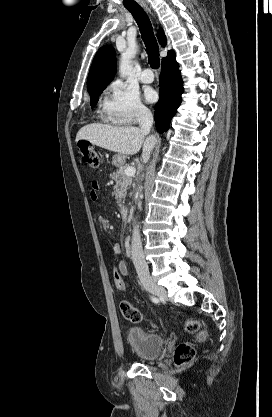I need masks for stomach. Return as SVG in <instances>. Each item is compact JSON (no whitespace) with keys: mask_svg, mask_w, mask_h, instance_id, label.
Wrapping results in <instances>:
<instances>
[{"mask_svg":"<svg viewBox=\"0 0 272 417\" xmlns=\"http://www.w3.org/2000/svg\"><path fill=\"white\" fill-rule=\"evenodd\" d=\"M112 163H113V165H115L117 167L123 166L124 163H125V155H123L121 153L115 154L112 158Z\"/></svg>","mask_w":272,"mask_h":417,"instance_id":"1","label":"stomach"}]
</instances>
